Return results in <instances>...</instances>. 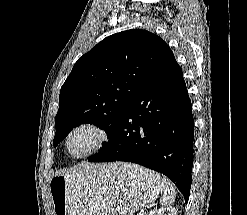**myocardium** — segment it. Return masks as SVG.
I'll use <instances>...</instances> for the list:
<instances>
[{"mask_svg":"<svg viewBox=\"0 0 247 215\" xmlns=\"http://www.w3.org/2000/svg\"><path fill=\"white\" fill-rule=\"evenodd\" d=\"M81 130H88L92 132L94 134V141L91 147L86 152L82 154H74L71 152L69 147L70 140L77 132ZM108 139H109V135L101 125L93 121H81L75 124L66 134L64 140V147L67 154L70 157L74 159H84L94 155L99 150H101L108 142Z\"/></svg>","mask_w":247,"mask_h":215,"instance_id":"myocardium-1","label":"myocardium"}]
</instances>
